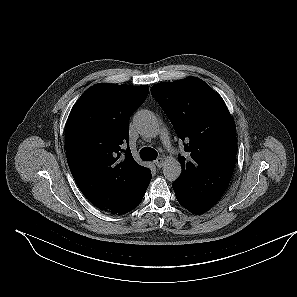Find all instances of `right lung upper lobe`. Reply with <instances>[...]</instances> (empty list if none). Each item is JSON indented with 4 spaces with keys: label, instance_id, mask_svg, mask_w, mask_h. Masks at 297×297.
I'll return each mask as SVG.
<instances>
[{
    "label": "right lung upper lobe",
    "instance_id": "obj_1",
    "mask_svg": "<svg viewBox=\"0 0 297 297\" xmlns=\"http://www.w3.org/2000/svg\"><path fill=\"white\" fill-rule=\"evenodd\" d=\"M147 85L96 84L73 106L65 133L67 161L86 198L101 210H124L151 180L132 157L128 121L145 101Z\"/></svg>",
    "mask_w": 297,
    "mask_h": 297
}]
</instances>
